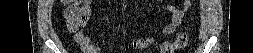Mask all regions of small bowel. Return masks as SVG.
I'll return each instance as SVG.
<instances>
[{"mask_svg": "<svg viewBox=\"0 0 253 53\" xmlns=\"http://www.w3.org/2000/svg\"><path fill=\"white\" fill-rule=\"evenodd\" d=\"M192 5L191 0L183 1L181 8H176L174 6L169 7V11L172 14V19L170 23L164 28L163 32L165 34L172 33L181 23L184 15L190 10ZM75 39L81 45L82 49L87 53H96L95 45L91 38L86 35V32L83 28H80L75 31ZM135 42V41H134ZM145 45L152 43L151 39L143 40ZM134 47L135 44L133 43ZM137 48V47H135Z\"/></svg>", "mask_w": 253, "mask_h": 53, "instance_id": "obj_1", "label": "small bowel"}]
</instances>
